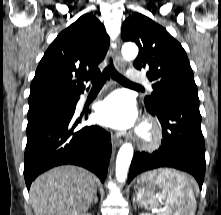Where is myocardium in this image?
Masks as SVG:
<instances>
[{"label": "myocardium", "instance_id": "f54148a6", "mask_svg": "<svg viewBox=\"0 0 221 215\" xmlns=\"http://www.w3.org/2000/svg\"><path fill=\"white\" fill-rule=\"evenodd\" d=\"M161 137L159 127L151 121H145L137 132L136 143L142 149L153 150L159 146Z\"/></svg>", "mask_w": 221, "mask_h": 215}]
</instances>
